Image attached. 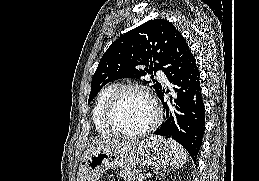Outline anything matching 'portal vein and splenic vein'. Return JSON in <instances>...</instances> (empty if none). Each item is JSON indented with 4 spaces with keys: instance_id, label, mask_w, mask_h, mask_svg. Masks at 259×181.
<instances>
[{
    "instance_id": "1",
    "label": "portal vein and splenic vein",
    "mask_w": 259,
    "mask_h": 181,
    "mask_svg": "<svg viewBox=\"0 0 259 181\" xmlns=\"http://www.w3.org/2000/svg\"><path fill=\"white\" fill-rule=\"evenodd\" d=\"M137 179H138V181H143V180H144V175H143V174H140Z\"/></svg>"
}]
</instances>
